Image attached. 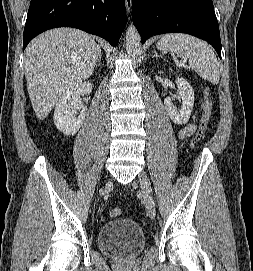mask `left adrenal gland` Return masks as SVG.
<instances>
[{
	"label": "left adrenal gland",
	"mask_w": 253,
	"mask_h": 271,
	"mask_svg": "<svg viewBox=\"0 0 253 271\" xmlns=\"http://www.w3.org/2000/svg\"><path fill=\"white\" fill-rule=\"evenodd\" d=\"M152 57H161L160 55H158L157 51L154 50V55Z\"/></svg>",
	"instance_id": "left-adrenal-gland-1"
}]
</instances>
